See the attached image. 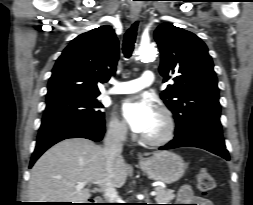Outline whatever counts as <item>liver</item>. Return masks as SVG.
I'll return each mask as SVG.
<instances>
[{"label":"liver","instance_id":"1","mask_svg":"<svg viewBox=\"0 0 253 205\" xmlns=\"http://www.w3.org/2000/svg\"><path fill=\"white\" fill-rule=\"evenodd\" d=\"M103 148L94 142L73 138L63 140L47 150L34 164L28 186L30 200L34 202L85 203L90 197L91 185L96 190L107 184L121 188L128 169L122 156L117 157L107 170ZM85 182L88 187L77 190Z\"/></svg>","mask_w":253,"mask_h":205}]
</instances>
